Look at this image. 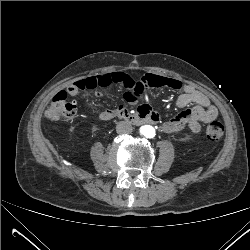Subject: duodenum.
Returning <instances> with one entry per match:
<instances>
[{"label":"duodenum","mask_w":250,"mask_h":250,"mask_svg":"<svg viewBox=\"0 0 250 250\" xmlns=\"http://www.w3.org/2000/svg\"><path fill=\"white\" fill-rule=\"evenodd\" d=\"M116 117H123L135 124H139V123L154 124L158 122L157 114L153 110H149V109L141 111L136 115H132L129 113V111L124 110L122 108L117 109V110L104 111L100 114V119L102 121H109Z\"/></svg>","instance_id":"1"}]
</instances>
